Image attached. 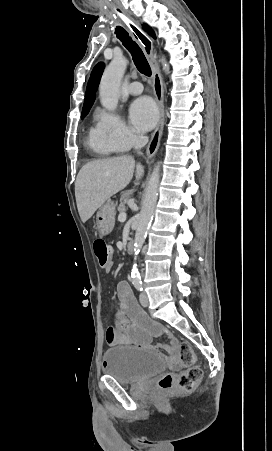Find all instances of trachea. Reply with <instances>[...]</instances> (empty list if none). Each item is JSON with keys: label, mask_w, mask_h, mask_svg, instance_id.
<instances>
[{"label": "trachea", "mask_w": 272, "mask_h": 451, "mask_svg": "<svg viewBox=\"0 0 272 451\" xmlns=\"http://www.w3.org/2000/svg\"><path fill=\"white\" fill-rule=\"evenodd\" d=\"M117 37L121 40L123 45L129 50L133 57V61L137 67V69L143 73L144 75L150 76L151 75V68L149 63L147 62V59L144 56V53L142 52L139 45H137L136 42L132 40L131 37H129L126 30L119 27L117 29Z\"/></svg>", "instance_id": "obj_1"}]
</instances>
